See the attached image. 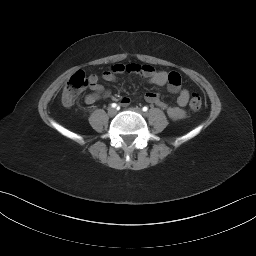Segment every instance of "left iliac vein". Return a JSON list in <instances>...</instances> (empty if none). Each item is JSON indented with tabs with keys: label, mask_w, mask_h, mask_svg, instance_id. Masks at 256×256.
Returning <instances> with one entry per match:
<instances>
[{
	"label": "left iliac vein",
	"mask_w": 256,
	"mask_h": 256,
	"mask_svg": "<svg viewBox=\"0 0 256 256\" xmlns=\"http://www.w3.org/2000/svg\"><path fill=\"white\" fill-rule=\"evenodd\" d=\"M131 110L134 111V112H136V113H138V114H141V115L144 114V113L142 112V110H141L140 108H138V107L132 108Z\"/></svg>",
	"instance_id": "4c4485c4"
}]
</instances>
